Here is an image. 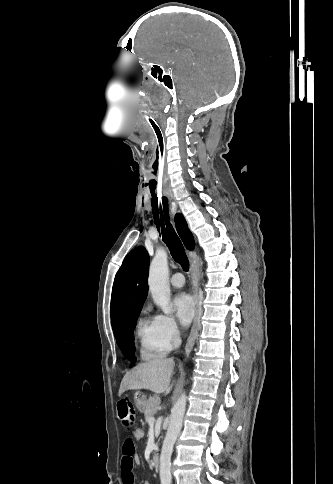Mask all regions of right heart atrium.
Returning a JSON list of instances; mask_svg holds the SVG:
<instances>
[{"label": "right heart atrium", "instance_id": "right-heart-atrium-1", "mask_svg": "<svg viewBox=\"0 0 333 484\" xmlns=\"http://www.w3.org/2000/svg\"><path fill=\"white\" fill-rule=\"evenodd\" d=\"M159 337L166 350L174 348L180 339V330L175 319L166 314H159L154 317Z\"/></svg>", "mask_w": 333, "mask_h": 484}]
</instances>
